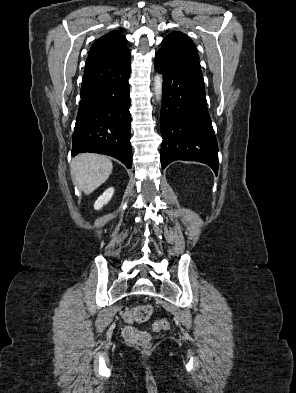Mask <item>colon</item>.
Segmentation results:
<instances>
[{
    "label": "colon",
    "mask_w": 296,
    "mask_h": 393,
    "mask_svg": "<svg viewBox=\"0 0 296 393\" xmlns=\"http://www.w3.org/2000/svg\"><path fill=\"white\" fill-rule=\"evenodd\" d=\"M154 313V307L149 304L138 305L133 308H123L122 316L127 322H145ZM170 323L168 320L156 321L152 329L154 331H160L169 328ZM125 338L133 345L146 347L150 344V335L143 330L135 329L132 327H126L124 330Z\"/></svg>",
    "instance_id": "colon-1"
}]
</instances>
